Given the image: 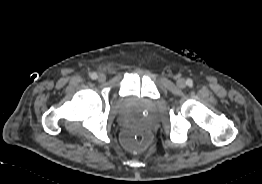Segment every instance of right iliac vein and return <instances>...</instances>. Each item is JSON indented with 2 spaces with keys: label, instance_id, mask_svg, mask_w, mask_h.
Wrapping results in <instances>:
<instances>
[{
  "label": "right iliac vein",
  "instance_id": "1",
  "mask_svg": "<svg viewBox=\"0 0 262 184\" xmlns=\"http://www.w3.org/2000/svg\"><path fill=\"white\" fill-rule=\"evenodd\" d=\"M106 80L105 74L101 73L98 75V81L99 82H104Z\"/></svg>",
  "mask_w": 262,
  "mask_h": 184
}]
</instances>
